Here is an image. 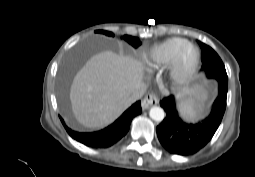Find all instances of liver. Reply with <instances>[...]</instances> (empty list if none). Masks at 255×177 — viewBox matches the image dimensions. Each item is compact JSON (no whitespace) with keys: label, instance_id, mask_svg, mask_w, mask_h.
Listing matches in <instances>:
<instances>
[{"label":"liver","instance_id":"liver-1","mask_svg":"<svg viewBox=\"0 0 255 177\" xmlns=\"http://www.w3.org/2000/svg\"><path fill=\"white\" fill-rule=\"evenodd\" d=\"M142 79L143 66L136 59L112 51L92 56L75 75L70 88L76 119L93 129L112 123L130 106L127 99Z\"/></svg>","mask_w":255,"mask_h":177}]
</instances>
